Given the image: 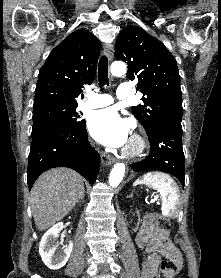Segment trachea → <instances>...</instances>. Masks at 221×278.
I'll use <instances>...</instances> for the list:
<instances>
[{"instance_id":"trachea-1","label":"trachea","mask_w":221,"mask_h":278,"mask_svg":"<svg viewBox=\"0 0 221 278\" xmlns=\"http://www.w3.org/2000/svg\"><path fill=\"white\" fill-rule=\"evenodd\" d=\"M98 81L99 86L103 87L105 85H109L108 78V61L106 56H102L98 65Z\"/></svg>"}]
</instances>
